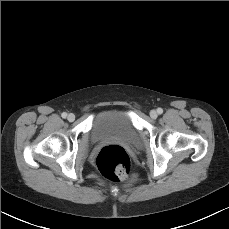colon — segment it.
Listing matches in <instances>:
<instances>
[{"label":"colon","instance_id":"colon-1","mask_svg":"<svg viewBox=\"0 0 229 229\" xmlns=\"http://www.w3.org/2000/svg\"><path fill=\"white\" fill-rule=\"evenodd\" d=\"M96 164L100 173L110 179L123 178L130 168V158L118 145L103 147L97 155Z\"/></svg>","mask_w":229,"mask_h":229}]
</instances>
